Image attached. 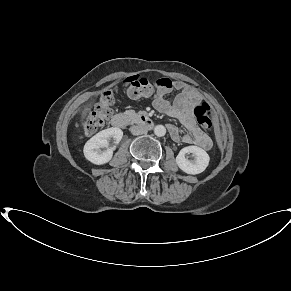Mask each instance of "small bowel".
I'll use <instances>...</instances> for the list:
<instances>
[{"label":"small bowel","instance_id":"1","mask_svg":"<svg viewBox=\"0 0 291 291\" xmlns=\"http://www.w3.org/2000/svg\"><path fill=\"white\" fill-rule=\"evenodd\" d=\"M169 82L168 87L159 88L153 98L154 107L160 111L177 118L185 129V133L181 135L180 129L173 124L168 125V130L174 141L181 139L204 150H209L212 141L195 123L189 112V107L195 101L194 91L184 82L176 80L170 81L168 78H162ZM178 90L180 93L173 101L166 99V95L172 90Z\"/></svg>","mask_w":291,"mask_h":291}]
</instances>
